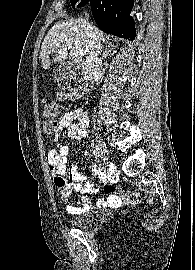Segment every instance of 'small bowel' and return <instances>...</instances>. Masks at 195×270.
Segmentation results:
<instances>
[{
  "mask_svg": "<svg viewBox=\"0 0 195 270\" xmlns=\"http://www.w3.org/2000/svg\"><path fill=\"white\" fill-rule=\"evenodd\" d=\"M58 130L67 128L68 136L76 141H82L87 135L88 116L83 109H74L66 112L57 122ZM58 135L54 136L57 141ZM69 149L66 145L57 143L56 147L50 149L46 158L48 167L54 178V184L58 188V194L63 201H68L73 192L81 193L80 201H74L66 206V210L70 214H81L90 208L89 193L97 192L93 184L80 172L78 163H73L70 168H67V156ZM113 173V169H111ZM71 180V182L68 181ZM105 179V178H104ZM107 195L106 198H100L97 201L99 206H109L111 208H118L122 205L123 196L118 189L112 185L107 184L104 188Z\"/></svg>",
  "mask_w": 195,
  "mask_h": 270,
  "instance_id": "small-bowel-1",
  "label": "small bowel"
}]
</instances>
